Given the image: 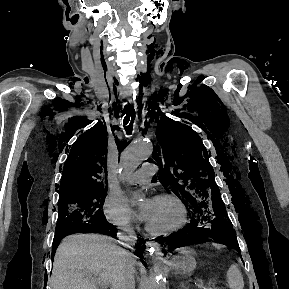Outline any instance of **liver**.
Listing matches in <instances>:
<instances>
[{
	"label": "liver",
	"instance_id": "1",
	"mask_svg": "<svg viewBox=\"0 0 289 289\" xmlns=\"http://www.w3.org/2000/svg\"><path fill=\"white\" fill-rule=\"evenodd\" d=\"M129 254L106 236H69L55 253L52 289H117Z\"/></svg>",
	"mask_w": 289,
	"mask_h": 289
}]
</instances>
